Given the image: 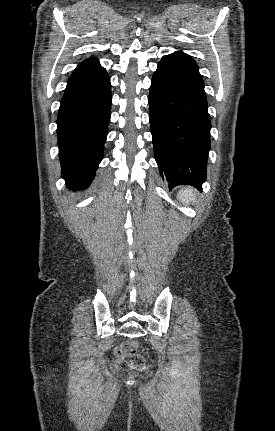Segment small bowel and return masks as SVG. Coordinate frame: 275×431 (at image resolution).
Returning <instances> with one entry per match:
<instances>
[{
  "instance_id": "1",
  "label": "small bowel",
  "mask_w": 275,
  "mask_h": 431,
  "mask_svg": "<svg viewBox=\"0 0 275 431\" xmlns=\"http://www.w3.org/2000/svg\"><path fill=\"white\" fill-rule=\"evenodd\" d=\"M117 353H118L119 356H122L121 352H120V348L118 349Z\"/></svg>"
}]
</instances>
